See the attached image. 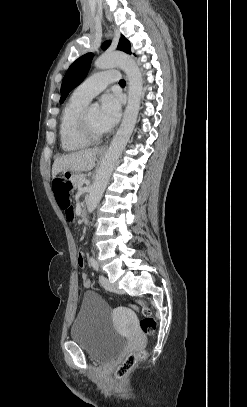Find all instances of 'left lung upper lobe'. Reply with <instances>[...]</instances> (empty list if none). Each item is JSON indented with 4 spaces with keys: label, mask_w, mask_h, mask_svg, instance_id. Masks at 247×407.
Listing matches in <instances>:
<instances>
[{
    "label": "left lung upper lobe",
    "mask_w": 247,
    "mask_h": 407,
    "mask_svg": "<svg viewBox=\"0 0 247 407\" xmlns=\"http://www.w3.org/2000/svg\"><path fill=\"white\" fill-rule=\"evenodd\" d=\"M109 45L110 41H107L102 45V48L105 50ZM117 49L131 54L130 42L124 36L121 37ZM92 58L93 54L88 53L79 57L71 64L62 81L60 103H63L69 92L84 80L90 68Z\"/></svg>",
    "instance_id": "5c2ea615"
}]
</instances>
